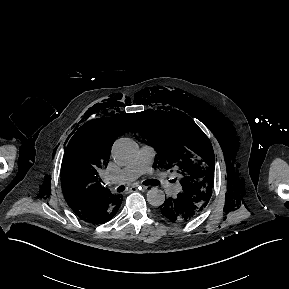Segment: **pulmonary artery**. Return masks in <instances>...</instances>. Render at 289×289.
Listing matches in <instances>:
<instances>
[{"label": "pulmonary artery", "mask_w": 289, "mask_h": 289, "mask_svg": "<svg viewBox=\"0 0 289 289\" xmlns=\"http://www.w3.org/2000/svg\"><path fill=\"white\" fill-rule=\"evenodd\" d=\"M154 157V148L151 145L144 144L141 146L136 161L119 170L117 173L109 175L107 180L112 184L129 183L144 173L152 172ZM161 185L166 192L175 191V186L166 179L161 180Z\"/></svg>", "instance_id": "1"}]
</instances>
